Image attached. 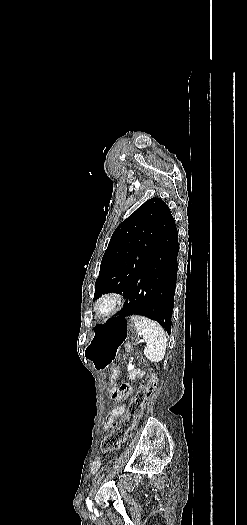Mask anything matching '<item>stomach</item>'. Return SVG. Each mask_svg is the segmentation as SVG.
Masks as SVG:
<instances>
[{"instance_id":"0dacf381","label":"stomach","mask_w":247,"mask_h":525,"mask_svg":"<svg viewBox=\"0 0 247 525\" xmlns=\"http://www.w3.org/2000/svg\"><path fill=\"white\" fill-rule=\"evenodd\" d=\"M131 318H111L95 326L85 349V357L98 371H105L115 359L122 344L137 335Z\"/></svg>"}]
</instances>
